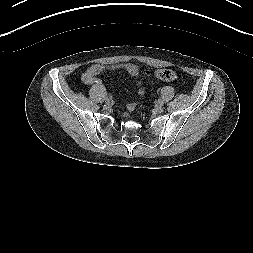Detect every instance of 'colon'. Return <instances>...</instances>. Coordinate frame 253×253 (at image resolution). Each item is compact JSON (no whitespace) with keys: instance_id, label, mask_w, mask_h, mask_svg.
<instances>
[{"instance_id":"obj_1","label":"colon","mask_w":253,"mask_h":253,"mask_svg":"<svg viewBox=\"0 0 253 253\" xmlns=\"http://www.w3.org/2000/svg\"><path fill=\"white\" fill-rule=\"evenodd\" d=\"M146 74H151V71L146 70ZM154 75L162 80H165V81H179L180 80L179 77L177 76V74L170 69L156 70V71H154ZM142 93H143V89L140 88L138 91V94L141 95ZM133 108H134L133 104H130L128 107L129 111L133 110Z\"/></svg>"}]
</instances>
